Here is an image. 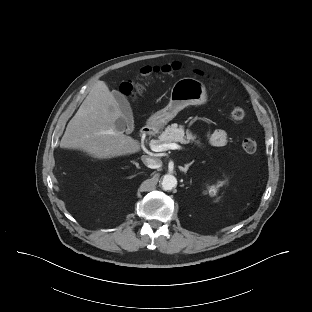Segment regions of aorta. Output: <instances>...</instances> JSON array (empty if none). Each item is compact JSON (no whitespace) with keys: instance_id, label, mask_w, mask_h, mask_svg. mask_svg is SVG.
I'll return each instance as SVG.
<instances>
[{"instance_id":"aorta-1","label":"aorta","mask_w":312,"mask_h":312,"mask_svg":"<svg viewBox=\"0 0 312 312\" xmlns=\"http://www.w3.org/2000/svg\"><path fill=\"white\" fill-rule=\"evenodd\" d=\"M161 185L164 190H171L176 187L177 179L171 174H166L163 176Z\"/></svg>"}]
</instances>
